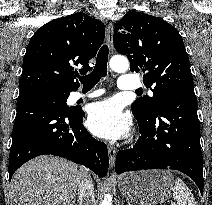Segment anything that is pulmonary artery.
Segmentation results:
<instances>
[{"mask_svg":"<svg viewBox=\"0 0 212 205\" xmlns=\"http://www.w3.org/2000/svg\"><path fill=\"white\" fill-rule=\"evenodd\" d=\"M141 87V82L139 79L132 75L123 74L119 77L118 88L121 90H137ZM104 93L103 90H94L87 93L76 92L74 94V99H85V98H95Z\"/></svg>","mask_w":212,"mask_h":205,"instance_id":"1","label":"pulmonary artery"}]
</instances>
